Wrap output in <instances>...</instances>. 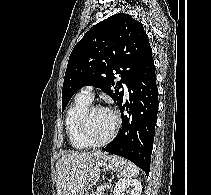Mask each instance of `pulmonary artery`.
<instances>
[{"mask_svg":"<svg viewBox=\"0 0 211 195\" xmlns=\"http://www.w3.org/2000/svg\"><path fill=\"white\" fill-rule=\"evenodd\" d=\"M124 88H125V95L127 96L128 95L127 85H124ZM79 94L83 97H86V98L92 100V97H93L92 87L87 86V87L83 88Z\"/></svg>","mask_w":211,"mask_h":195,"instance_id":"pulmonary-artery-1","label":"pulmonary artery"}]
</instances>
